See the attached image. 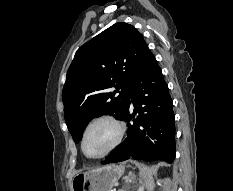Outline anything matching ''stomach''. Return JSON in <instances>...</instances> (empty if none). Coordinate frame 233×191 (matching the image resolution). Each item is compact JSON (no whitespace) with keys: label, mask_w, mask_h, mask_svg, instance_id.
Masks as SVG:
<instances>
[{"label":"stomach","mask_w":233,"mask_h":191,"mask_svg":"<svg viewBox=\"0 0 233 191\" xmlns=\"http://www.w3.org/2000/svg\"><path fill=\"white\" fill-rule=\"evenodd\" d=\"M124 173L122 165L108 164L78 173L72 180V191H112Z\"/></svg>","instance_id":"stomach-1"}]
</instances>
